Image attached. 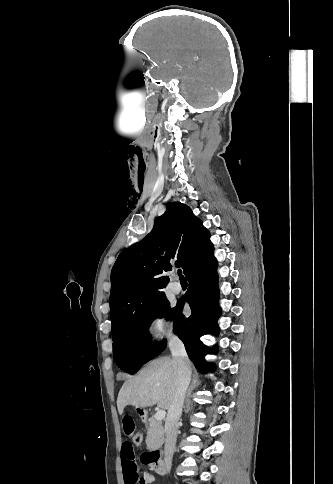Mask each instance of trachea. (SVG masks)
I'll use <instances>...</instances> for the list:
<instances>
[{"mask_svg": "<svg viewBox=\"0 0 333 484\" xmlns=\"http://www.w3.org/2000/svg\"><path fill=\"white\" fill-rule=\"evenodd\" d=\"M178 275L180 277V280H185L184 276L182 275V271L178 270Z\"/></svg>", "mask_w": 333, "mask_h": 484, "instance_id": "obj_1", "label": "trachea"}]
</instances>
